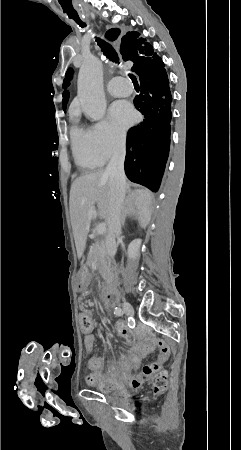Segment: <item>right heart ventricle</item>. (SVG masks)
Returning <instances> with one entry per match:
<instances>
[{
  "mask_svg": "<svg viewBox=\"0 0 241 450\" xmlns=\"http://www.w3.org/2000/svg\"><path fill=\"white\" fill-rule=\"evenodd\" d=\"M93 127L74 124L70 130L71 146L74 159L82 168L102 166L105 161L100 159L92 150L91 139Z\"/></svg>",
  "mask_w": 241,
  "mask_h": 450,
  "instance_id": "right-heart-ventricle-1",
  "label": "right heart ventricle"
}]
</instances>
